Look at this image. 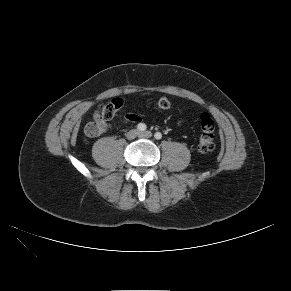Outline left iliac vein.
<instances>
[{
	"instance_id": "left-iliac-vein-1",
	"label": "left iliac vein",
	"mask_w": 291,
	"mask_h": 291,
	"mask_svg": "<svg viewBox=\"0 0 291 291\" xmlns=\"http://www.w3.org/2000/svg\"><path fill=\"white\" fill-rule=\"evenodd\" d=\"M139 137L141 138H150L152 137V133L150 131L140 132Z\"/></svg>"
}]
</instances>
